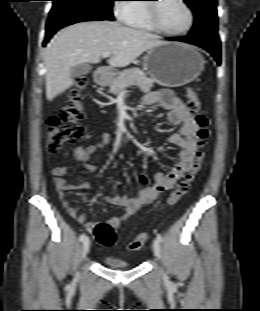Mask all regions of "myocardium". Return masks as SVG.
I'll return each instance as SVG.
<instances>
[{
	"label": "myocardium",
	"mask_w": 260,
	"mask_h": 311,
	"mask_svg": "<svg viewBox=\"0 0 260 311\" xmlns=\"http://www.w3.org/2000/svg\"><path fill=\"white\" fill-rule=\"evenodd\" d=\"M156 2H150L146 4V11H147V18L150 23V25L153 27L154 30H156L159 33H162L167 36L177 37L187 34L193 27L194 24V13L190 5L187 3L186 0H178L183 7L186 9L188 13V24L187 26L181 30V31H169L165 28H163L160 24L159 18L157 16V8L158 3L161 0H155Z\"/></svg>",
	"instance_id": "1"
}]
</instances>
